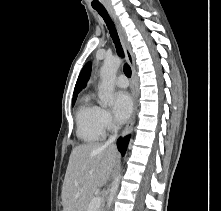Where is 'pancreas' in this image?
Instances as JSON below:
<instances>
[{
	"label": "pancreas",
	"mask_w": 221,
	"mask_h": 211,
	"mask_svg": "<svg viewBox=\"0 0 221 211\" xmlns=\"http://www.w3.org/2000/svg\"><path fill=\"white\" fill-rule=\"evenodd\" d=\"M94 198V195L92 194L91 196H89L85 202V210L84 211H88V206L89 203L91 202V200ZM98 211H102L101 209H99Z\"/></svg>",
	"instance_id": "1"
}]
</instances>
